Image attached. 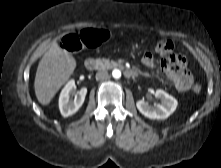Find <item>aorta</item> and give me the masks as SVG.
I'll return each mask as SVG.
<instances>
[{"instance_id":"obj_1","label":"aorta","mask_w":221,"mask_h":168,"mask_svg":"<svg viewBox=\"0 0 221 168\" xmlns=\"http://www.w3.org/2000/svg\"><path fill=\"white\" fill-rule=\"evenodd\" d=\"M112 76L115 78V79H119L121 77V71L119 69H114L112 71Z\"/></svg>"}]
</instances>
